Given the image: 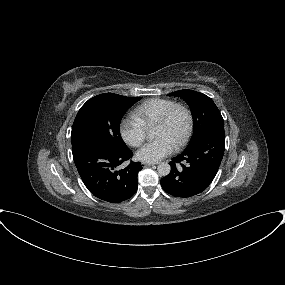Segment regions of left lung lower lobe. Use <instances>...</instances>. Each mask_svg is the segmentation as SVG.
Wrapping results in <instances>:
<instances>
[{
	"label": "left lung lower lobe",
	"instance_id": "1",
	"mask_svg": "<svg viewBox=\"0 0 285 285\" xmlns=\"http://www.w3.org/2000/svg\"><path fill=\"white\" fill-rule=\"evenodd\" d=\"M225 149L224 126L208 130L196 143L169 163L171 172L161 179L162 188L175 197L203 192L213 181Z\"/></svg>",
	"mask_w": 285,
	"mask_h": 285
}]
</instances>
